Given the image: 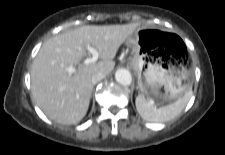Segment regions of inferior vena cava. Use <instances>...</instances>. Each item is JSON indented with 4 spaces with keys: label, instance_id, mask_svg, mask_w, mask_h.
Here are the masks:
<instances>
[{
    "label": "inferior vena cava",
    "instance_id": "1",
    "mask_svg": "<svg viewBox=\"0 0 225 155\" xmlns=\"http://www.w3.org/2000/svg\"><path fill=\"white\" fill-rule=\"evenodd\" d=\"M105 76H106V75H105V73H103V72H97V73H95V74L92 76V78H91L92 84L98 83L99 81H101L102 79H104Z\"/></svg>",
    "mask_w": 225,
    "mask_h": 155
}]
</instances>
